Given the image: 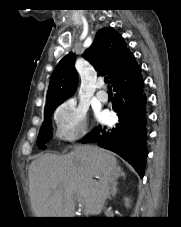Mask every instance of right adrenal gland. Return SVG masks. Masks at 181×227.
I'll use <instances>...</instances> for the list:
<instances>
[{"label":"right adrenal gland","instance_id":"obj_1","mask_svg":"<svg viewBox=\"0 0 181 227\" xmlns=\"http://www.w3.org/2000/svg\"><path fill=\"white\" fill-rule=\"evenodd\" d=\"M119 177H123V178L126 177L125 172L121 168L118 169V172H117L115 178H113V180L111 181V192H110V195L108 197L110 200L116 196L117 180H118Z\"/></svg>","mask_w":181,"mask_h":227}]
</instances>
